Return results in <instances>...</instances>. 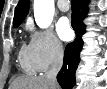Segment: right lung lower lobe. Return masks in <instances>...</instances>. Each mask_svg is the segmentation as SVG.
I'll list each match as a JSON object with an SVG mask.
<instances>
[{"mask_svg": "<svg viewBox=\"0 0 107 89\" xmlns=\"http://www.w3.org/2000/svg\"><path fill=\"white\" fill-rule=\"evenodd\" d=\"M85 0H72V27L76 32L74 42L68 44L65 49L63 67L57 75L58 83L63 89H71L75 85V72L80 58L79 53L82 49L83 41L81 36L85 32L82 20L87 15Z\"/></svg>", "mask_w": 107, "mask_h": 89, "instance_id": "98d812e1", "label": "right lung lower lobe"}]
</instances>
